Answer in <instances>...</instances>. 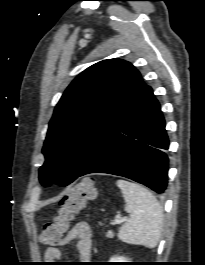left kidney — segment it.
<instances>
[{
  "label": "left kidney",
  "mask_w": 205,
  "mask_h": 265,
  "mask_svg": "<svg viewBox=\"0 0 205 265\" xmlns=\"http://www.w3.org/2000/svg\"><path fill=\"white\" fill-rule=\"evenodd\" d=\"M126 259L127 258H125V257H118V256H116V257H112L111 260H110V262H127Z\"/></svg>",
  "instance_id": "1"
}]
</instances>
